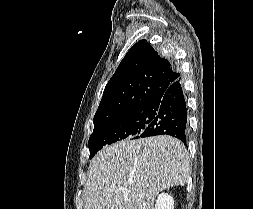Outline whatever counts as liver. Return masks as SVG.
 <instances>
[{
	"label": "liver",
	"instance_id": "1",
	"mask_svg": "<svg viewBox=\"0 0 253 209\" xmlns=\"http://www.w3.org/2000/svg\"><path fill=\"white\" fill-rule=\"evenodd\" d=\"M190 164L184 144L168 135L124 140L91 160L84 209H154L159 192L184 186Z\"/></svg>",
	"mask_w": 253,
	"mask_h": 209
}]
</instances>
